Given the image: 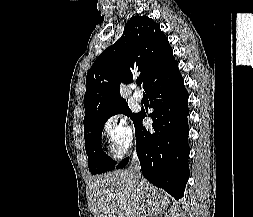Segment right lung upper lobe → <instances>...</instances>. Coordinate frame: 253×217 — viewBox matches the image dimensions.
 <instances>
[{
  "label": "right lung upper lobe",
  "instance_id": "right-lung-upper-lobe-1",
  "mask_svg": "<svg viewBox=\"0 0 253 217\" xmlns=\"http://www.w3.org/2000/svg\"><path fill=\"white\" fill-rule=\"evenodd\" d=\"M175 63L173 50L160 26L145 16H133L123 35L96 59L86 77L85 117L89 121L117 105L121 82H132L139 72L143 87Z\"/></svg>",
  "mask_w": 253,
  "mask_h": 217
}]
</instances>
